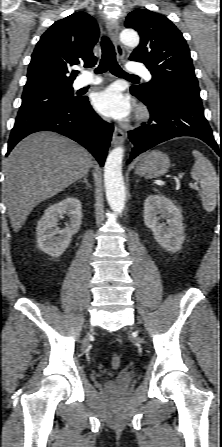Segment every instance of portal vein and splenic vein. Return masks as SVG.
Returning <instances> with one entry per match:
<instances>
[{
    "label": "portal vein and splenic vein",
    "mask_w": 222,
    "mask_h": 447,
    "mask_svg": "<svg viewBox=\"0 0 222 447\" xmlns=\"http://www.w3.org/2000/svg\"><path fill=\"white\" fill-rule=\"evenodd\" d=\"M182 177V175H179V179H182ZM190 186L191 188L198 189V185L196 183H191Z\"/></svg>",
    "instance_id": "portal-vein-and-splenic-vein-1"
}]
</instances>
